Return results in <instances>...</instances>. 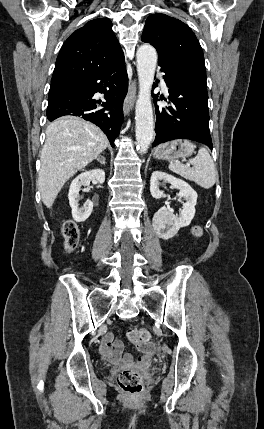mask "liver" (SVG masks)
Masks as SVG:
<instances>
[{"mask_svg":"<svg viewBox=\"0 0 264 429\" xmlns=\"http://www.w3.org/2000/svg\"><path fill=\"white\" fill-rule=\"evenodd\" d=\"M108 146L105 134L96 125L77 117L51 122L41 152L38 188L47 208L77 171L97 159Z\"/></svg>","mask_w":264,"mask_h":429,"instance_id":"obj_1","label":"liver"}]
</instances>
